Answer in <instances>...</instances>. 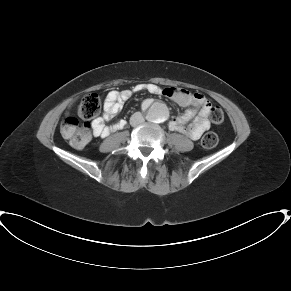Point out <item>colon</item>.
<instances>
[{"mask_svg":"<svg viewBox=\"0 0 291 291\" xmlns=\"http://www.w3.org/2000/svg\"><path fill=\"white\" fill-rule=\"evenodd\" d=\"M102 107L101 97L91 94L85 97L78 106V118L67 117L61 124V135L68 142L76 147L82 148L91 140L92 121L99 115ZM210 118L213 123L220 124L224 120V113L220 107H213L210 111ZM218 143V137L210 132L204 135L201 144L205 149H212Z\"/></svg>","mask_w":291,"mask_h":291,"instance_id":"5ec220e1","label":"colon"}]
</instances>
